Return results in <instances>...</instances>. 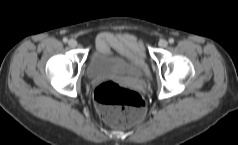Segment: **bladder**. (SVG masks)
<instances>
[{
    "instance_id": "31cf9c89",
    "label": "bladder",
    "mask_w": 238,
    "mask_h": 145,
    "mask_svg": "<svg viewBox=\"0 0 238 145\" xmlns=\"http://www.w3.org/2000/svg\"><path fill=\"white\" fill-rule=\"evenodd\" d=\"M111 65H126L134 69L139 74L140 78H145L149 75V66L146 63L141 62L133 64L122 55H110L100 50H96L87 61V76L91 79H96L103 69Z\"/></svg>"
}]
</instances>
